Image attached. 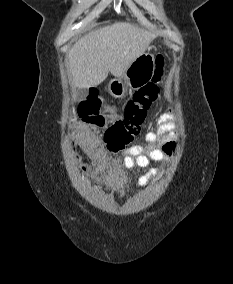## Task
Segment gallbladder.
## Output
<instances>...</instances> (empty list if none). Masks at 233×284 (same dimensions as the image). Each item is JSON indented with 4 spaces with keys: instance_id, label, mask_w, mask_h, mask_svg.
<instances>
[{
    "instance_id": "gallbladder-1",
    "label": "gallbladder",
    "mask_w": 233,
    "mask_h": 284,
    "mask_svg": "<svg viewBox=\"0 0 233 284\" xmlns=\"http://www.w3.org/2000/svg\"><path fill=\"white\" fill-rule=\"evenodd\" d=\"M87 95H88L87 89H81L77 93V100L82 101L87 97Z\"/></svg>"
}]
</instances>
